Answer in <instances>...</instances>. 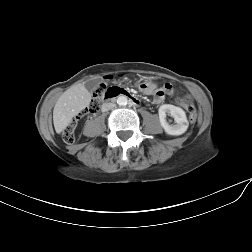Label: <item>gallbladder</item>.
<instances>
[{"label":"gallbladder","mask_w":252,"mask_h":252,"mask_svg":"<svg viewBox=\"0 0 252 252\" xmlns=\"http://www.w3.org/2000/svg\"><path fill=\"white\" fill-rule=\"evenodd\" d=\"M98 85V81H88L85 83V88L92 92Z\"/></svg>","instance_id":"obj_1"}]
</instances>
